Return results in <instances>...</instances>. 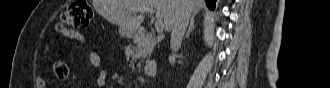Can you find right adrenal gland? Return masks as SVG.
<instances>
[{"mask_svg": "<svg viewBox=\"0 0 330 88\" xmlns=\"http://www.w3.org/2000/svg\"><path fill=\"white\" fill-rule=\"evenodd\" d=\"M194 17H195V15H193V16L191 17L190 25H189V28H188V30H187V32H186V36H185L186 38L189 37L190 33L192 32V30H193L194 27H195V25H194Z\"/></svg>", "mask_w": 330, "mask_h": 88, "instance_id": "right-adrenal-gland-1", "label": "right adrenal gland"}]
</instances>
